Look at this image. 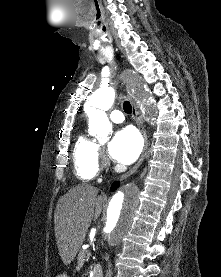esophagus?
<instances>
[{
	"label": "esophagus",
	"mask_w": 221,
	"mask_h": 277,
	"mask_svg": "<svg viewBox=\"0 0 221 277\" xmlns=\"http://www.w3.org/2000/svg\"><path fill=\"white\" fill-rule=\"evenodd\" d=\"M128 98L132 105V116L135 119V122L144 138V148H143L142 154H141L139 160L137 161V163L129 171H127L126 173L121 175L119 178L120 180L126 179L140 167V165L143 163L145 157L147 156V151H148V147H149L147 132L145 130L143 120H142L141 116L139 115V112H138V109H137V106L135 103V99L131 95V93H128Z\"/></svg>",
	"instance_id": "obj_1"
}]
</instances>
